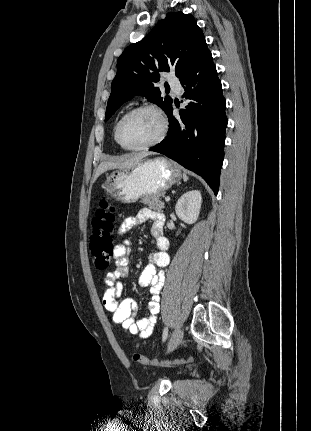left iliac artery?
Masks as SVG:
<instances>
[{
    "instance_id": "1",
    "label": "left iliac artery",
    "mask_w": 311,
    "mask_h": 431,
    "mask_svg": "<svg viewBox=\"0 0 311 431\" xmlns=\"http://www.w3.org/2000/svg\"><path fill=\"white\" fill-rule=\"evenodd\" d=\"M167 336H168V327H165L163 331V336H162L163 342L167 339Z\"/></svg>"
}]
</instances>
